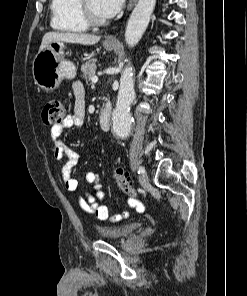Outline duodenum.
<instances>
[{
	"instance_id": "duodenum-1",
	"label": "duodenum",
	"mask_w": 247,
	"mask_h": 296,
	"mask_svg": "<svg viewBox=\"0 0 247 296\" xmlns=\"http://www.w3.org/2000/svg\"><path fill=\"white\" fill-rule=\"evenodd\" d=\"M112 105L106 101L99 115V124L104 132H109L111 129Z\"/></svg>"
}]
</instances>
